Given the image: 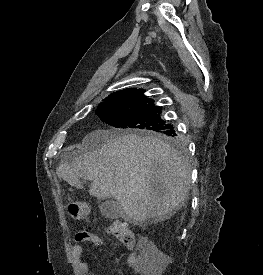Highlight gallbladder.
I'll return each instance as SVG.
<instances>
[{"label":"gallbladder","mask_w":263,"mask_h":275,"mask_svg":"<svg viewBox=\"0 0 263 275\" xmlns=\"http://www.w3.org/2000/svg\"><path fill=\"white\" fill-rule=\"evenodd\" d=\"M101 213L110 219H116L123 216L124 212L118 201L106 200L99 206Z\"/></svg>","instance_id":"bac80fb5"}]
</instances>
